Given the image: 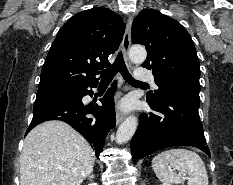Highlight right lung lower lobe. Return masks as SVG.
Instances as JSON below:
<instances>
[{
    "label": "right lung lower lobe",
    "instance_id": "1",
    "mask_svg": "<svg viewBox=\"0 0 233 185\" xmlns=\"http://www.w3.org/2000/svg\"><path fill=\"white\" fill-rule=\"evenodd\" d=\"M98 83L78 85L70 89L41 90L37 92L33 119L26 134L36 125L48 120H61L70 124L94 146L98 156L103 149L104 140L111 128L115 126V109L112 95L115 83L107 94L100 99L102 105H84L82 98L92 96L87 88L96 87ZM90 115L95 117L91 118Z\"/></svg>",
    "mask_w": 233,
    "mask_h": 185
}]
</instances>
